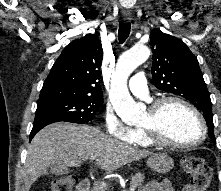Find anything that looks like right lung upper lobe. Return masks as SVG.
<instances>
[{"instance_id": "obj_1", "label": "right lung upper lobe", "mask_w": 221, "mask_h": 191, "mask_svg": "<svg viewBox=\"0 0 221 191\" xmlns=\"http://www.w3.org/2000/svg\"><path fill=\"white\" fill-rule=\"evenodd\" d=\"M103 49L99 36L87 34L68 44L44 81L38 102L67 98H103L100 67Z\"/></svg>"}]
</instances>
